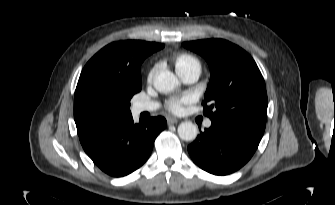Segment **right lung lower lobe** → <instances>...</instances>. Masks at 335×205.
Returning a JSON list of instances; mask_svg holds the SVG:
<instances>
[{
    "mask_svg": "<svg viewBox=\"0 0 335 205\" xmlns=\"http://www.w3.org/2000/svg\"><path fill=\"white\" fill-rule=\"evenodd\" d=\"M166 126V119L161 116L134 124L130 115L100 131L80 136V142L86 154L102 171L121 177L145 163L155 138Z\"/></svg>",
    "mask_w": 335,
    "mask_h": 205,
    "instance_id": "right-lung-lower-lobe-1",
    "label": "right lung lower lobe"
}]
</instances>
